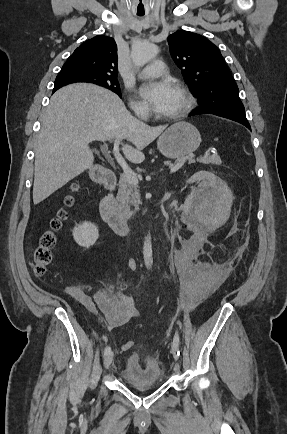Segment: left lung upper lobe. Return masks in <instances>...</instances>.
I'll list each match as a JSON object with an SVG mask.
<instances>
[{"label":"left lung upper lobe","instance_id":"obj_1","mask_svg":"<svg viewBox=\"0 0 287 434\" xmlns=\"http://www.w3.org/2000/svg\"><path fill=\"white\" fill-rule=\"evenodd\" d=\"M168 43L191 93L199 99L200 108H244L237 84L213 43L183 30L171 34Z\"/></svg>","mask_w":287,"mask_h":434}]
</instances>
